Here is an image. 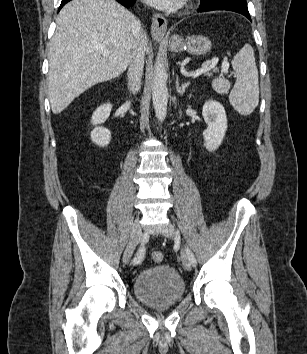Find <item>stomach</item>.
<instances>
[{"label": "stomach", "instance_id": "stomach-1", "mask_svg": "<svg viewBox=\"0 0 307 354\" xmlns=\"http://www.w3.org/2000/svg\"><path fill=\"white\" fill-rule=\"evenodd\" d=\"M211 41L203 35H189L185 39L173 35L169 39L168 47L172 51H186L191 55H205L211 50Z\"/></svg>", "mask_w": 307, "mask_h": 354}]
</instances>
